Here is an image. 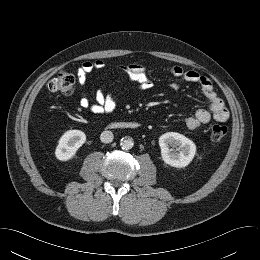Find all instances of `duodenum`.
Returning <instances> with one entry per match:
<instances>
[{
	"label": "duodenum",
	"instance_id": "410a0bca",
	"mask_svg": "<svg viewBox=\"0 0 260 260\" xmlns=\"http://www.w3.org/2000/svg\"><path fill=\"white\" fill-rule=\"evenodd\" d=\"M111 128L114 129H126V130H138L141 128L139 122H116L111 124Z\"/></svg>",
	"mask_w": 260,
	"mask_h": 260
}]
</instances>
